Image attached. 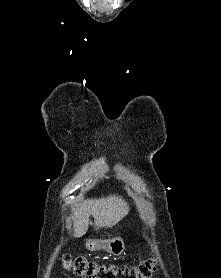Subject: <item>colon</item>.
Returning a JSON list of instances; mask_svg holds the SVG:
<instances>
[{"instance_id":"obj_1","label":"colon","mask_w":221,"mask_h":278,"mask_svg":"<svg viewBox=\"0 0 221 278\" xmlns=\"http://www.w3.org/2000/svg\"><path fill=\"white\" fill-rule=\"evenodd\" d=\"M62 263L82 278H153L155 263L145 261L138 266H107L82 257L64 255Z\"/></svg>"}]
</instances>
